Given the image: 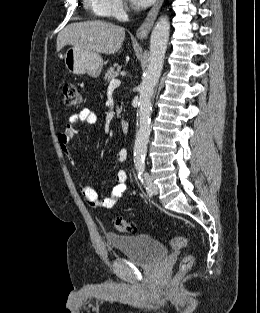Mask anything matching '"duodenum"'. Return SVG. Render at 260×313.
<instances>
[{"label":"duodenum","mask_w":260,"mask_h":313,"mask_svg":"<svg viewBox=\"0 0 260 313\" xmlns=\"http://www.w3.org/2000/svg\"><path fill=\"white\" fill-rule=\"evenodd\" d=\"M121 127H122V131L124 134H128L130 131V126H129V122L128 121H122L121 123Z\"/></svg>","instance_id":"obj_1"}]
</instances>
